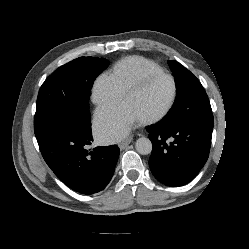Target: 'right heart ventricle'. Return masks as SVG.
<instances>
[{
  "label": "right heart ventricle",
  "instance_id": "1",
  "mask_svg": "<svg viewBox=\"0 0 249 249\" xmlns=\"http://www.w3.org/2000/svg\"><path fill=\"white\" fill-rule=\"evenodd\" d=\"M162 71L154 62L140 56H130L120 60L110 73L120 88L125 90L140 77Z\"/></svg>",
  "mask_w": 249,
  "mask_h": 249
}]
</instances>
